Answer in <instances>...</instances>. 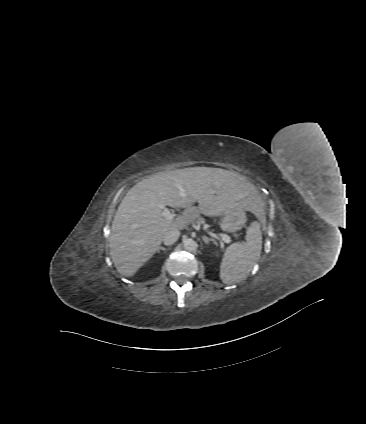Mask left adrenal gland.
<instances>
[{
  "label": "left adrenal gland",
  "instance_id": "a2214340",
  "mask_svg": "<svg viewBox=\"0 0 366 424\" xmlns=\"http://www.w3.org/2000/svg\"><path fill=\"white\" fill-rule=\"evenodd\" d=\"M205 244H209L210 242H213L214 244H217L216 241L212 238H208L207 236L202 237Z\"/></svg>",
  "mask_w": 366,
  "mask_h": 424
}]
</instances>
